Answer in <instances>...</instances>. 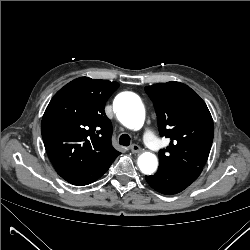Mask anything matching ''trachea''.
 <instances>
[{"label":"trachea","instance_id":"3493384b","mask_svg":"<svg viewBox=\"0 0 250 250\" xmlns=\"http://www.w3.org/2000/svg\"><path fill=\"white\" fill-rule=\"evenodd\" d=\"M119 144L123 146H129L130 144V137L127 134H122L119 138Z\"/></svg>","mask_w":250,"mask_h":250}]
</instances>
